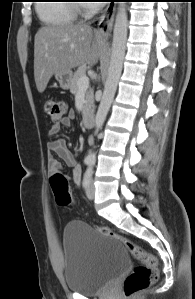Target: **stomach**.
Instances as JSON below:
<instances>
[{"instance_id":"0dacf381","label":"stomach","mask_w":195,"mask_h":299,"mask_svg":"<svg viewBox=\"0 0 195 299\" xmlns=\"http://www.w3.org/2000/svg\"><path fill=\"white\" fill-rule=\"evenodd\" d=\"M55 78L58 81L60 87L64 90H67L70 88L72 79H73V73L72 71L64 72V73H57L55 74Z\"/></svg>"}]
</instances>
